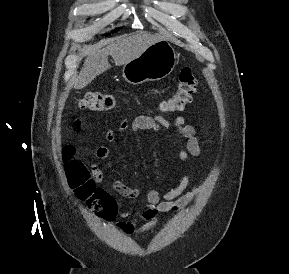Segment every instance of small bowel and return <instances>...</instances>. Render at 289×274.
I'll return each mask as SVG.
<instances>
[{
	"instance_id": "obj_1",
	"label": "small bowel",
	"mask_w": 289,
	"mask_h": 274,
	"mask_svg": "<svg viewBox=\"0 0 289 274\" xmlns=\"http://www.w3.org/2000/svg\"><path fill=\"white\" fill-rule=\"evenodd\" d=\"M177 134L186 140L185 144L178 142V157L186 163L190 157H200L202 150L199 143V138L196 134L194 126L186 123L183 116H178L173 124ZM129 127V122L125 119L118 124L119 131H126ZM131 128L134 131L153 130L160 132L163 129H170L171 124L163 117L139 115L131 123ZM106 138L109 141H114L116 133L109 129L106 131ZM95 155L99 159H111V153L108 147L99 145L95 150ZM90 172L95 183H102L104 176L102 170L96 165H90ZM189 175L185 174L177 186L160 193L156 189H151L146 194L147 208L142 211L139 217L133 221L119 222L118 228L125 234H143L153 229L157 222L159 214L171 210H175L182 205L188 204L199 192V187H194L190 191H186L189 184ZM113 189L122 197L134 199L139 196V189L126 186L120 180H115L112 184ZM131 214L122 212L121 216L126 218ZM143 221L141 225L140 222Z\"/></svg>"
}]
</instances>
